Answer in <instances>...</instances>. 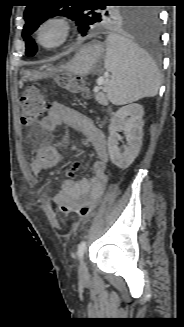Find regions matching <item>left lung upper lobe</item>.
Returning <instances> with one entry per match:
<instances>
[{"instance_id": "obj_1", "label": "left lung upper lobe", "mask_w": 184, "mask_h": 327, "mask_svg": "<svg viewBox=\"0 0 184 327\" xmlns=\"http://www.w3.org/2000/svg\"><path fill=\"white\" fill-rule=\"evenodd\" d=\"M50 0H32L24 12L25 25L22 36L26 44L25 54L33 56L37 51L34 40L30 37L39 25L54 16H65L78 25L79 32L85 36L92 29L102 25L126 24L137 25L142 16L143 9H118L107 6L108 3H130L132 0H77L73 6L47 4ZM99 3L93 5L90 3Z\"/></svg>"}]
</instances>
